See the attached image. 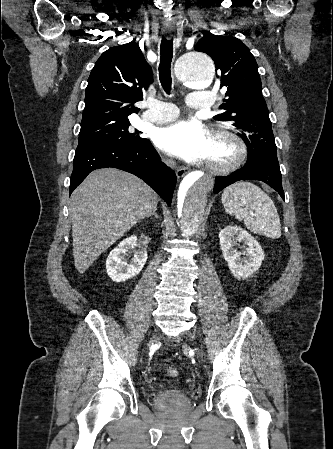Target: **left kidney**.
<instances>
[{
    "label": "left kidney",
    "instance_id": "obj_1",
    "mask_svg": "<svg viewBox=\"0 0 333 449\" xmlns=\"http://www.w3.org/2000/svg\"><path fill=\"white\" fill-rule=\"evenodd\" d=\"M219 241L223 257L234 277L248 278L261 266L264 252L259 243L242 228L225 227L219 234ZM237 247L244 248L246 253L239 252Z\"/></svg>",
    "mask_w": 333,
    "mask_h": 449
}]
</instances>
